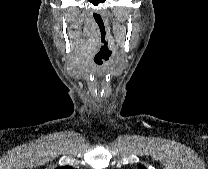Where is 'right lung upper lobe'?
Returning <instances> with one entry per match:
<instances>
[{
    "instance_id": "obj_1",
    "label": "right lung upper lobe",
    "mask_w": 208,
    "mask_h": 169,
    "mask_svg": "<svg viewBox=\"0 0 208 169\" xmlns=\"http://www.w3.org/2000/svg\"><path fill=\"white\" fill-rule=\"evenodd\" d=\"M56 169H73V168L70 167V166H64V167H58V168H56Z\"/></svg>"
}]
</instances>
